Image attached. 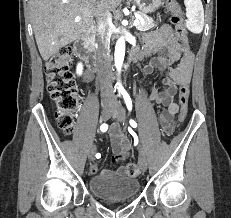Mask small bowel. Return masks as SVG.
I'll use <instances>...</instances> for the list:
<instances>
[{"label":"small bowel","mask_w":231,"mask_h":218,"mask_svg":"<svg viewBox=\"0 0 231 218\" xmlns=\"http://www.w3.org/2000/svg\"><path fill=\"white\" fill-rule=\"evenodd\" d=\"M139 59L152 56L148 64L143 68V74L150 76L155 69L167 71L162 82L165 87L161 90L153 87L148 97L149 102H156L165 107L160 114L159 121L164 135H170L174 128V115L178 112L179 106L174 101L178 92V87L189 84L193 69L194 55L192 51L181 45L174 37L170 25L165 24L158 30L147 34L144 38V49L138 53ZM92 76L86 73L83 77L85 82L91 81ZM112 150L115 156L112 163L116 164L119 160H125L130 155V145L128 140L121 133L118 125H113L109 131ZM98 171V163L90 164V172ZM103 175H110L112 172L105 170ZM115 174L125 176L126 167L120 166Z\"/></svg>","instance_id":"1"}]
</instances>
